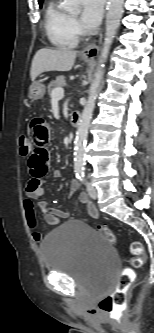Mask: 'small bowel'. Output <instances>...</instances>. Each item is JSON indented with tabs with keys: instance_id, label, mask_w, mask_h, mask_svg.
<instances>
[{
	"instance_id": "c3829d8e",
	"label": "small bowel",
	"mask_w": 154,
	"mask_h": 333,
	"mask_svg": "<svg viewBox=\"0 0 154 333\" xmlns=\"http://www.w3.org/2000/svg\"><path fill=\"white\" fill-rule=\"evenodd\" d=\"M27 135L32 145V150L28 158L30 179L25 189L27 198L24 201V209L28 226L32 232V238L35 242H40L42 240V236L37 229V220L33 201L39 200L44 193L43 185L50 167V128L43 119L34 118L28 125ZM62 176L63 172L61 170H55L53 172V177L55 178H61ZM77 189L78 183L76 181H72L70 184L69 195L71 196ZM79 201L86 206L91 217H99L97 208L85 194L79 195ZM37 205L44 217V220L49 225L56 226L61 223L62 219L69 216V211L67 209L52 208L46 201L39 200Z\"/></svg>"
}]
</instances>
